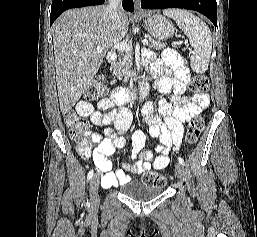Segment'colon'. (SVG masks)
I'll list each match as a JSON object with an SVG mask.
<instances>
[{"mask_svg":"<svg viewBox=\"0 0 257 237\" xmlns=\"http://www.w3.org/2000/svg\"><path fill=\"white\" fill-rule=\"evenodd\" d=\"M209 79L206 75H196L193 79L191 89L197 93H204L209 89ZM105 87L101 79H95L91 82L85 92V99L88 101H96L101 99L104 95ZM64 122L69 130L71 138L79 141H83V136L89 128V122L82 119L74 112L66 113L64 116ZM204 128V121L200 116H194L189 120L185 139L189 144H194L198 141ZM166 178L161 173H148L143 177V182L154 186H163Z\"/></svg>","mask_w":257,"mask_h":237,"instance_id":"1","label":"colon"}]
</instances>
